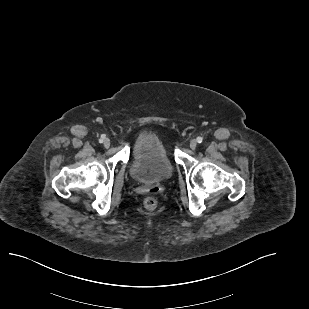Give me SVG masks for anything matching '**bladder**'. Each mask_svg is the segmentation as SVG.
Returning <instances> with one entry per match:
<instances>
[{
    "instance_id": "bladder-1",
    "label": "bladder",
    "mask_w": 309,
    "mask_h": 309,
    "mask_svg": "<svg viewBox=\"0 0 309 309\" xmlns=\"http://www.w3.org/2000/svg\"><path fill=\"white\" fill-rule=\"evenodd\" d=\"M174 168L163 142L154 135L137 139L132 150L131 177L139 183L153 184L166 181Z\"/></svg>"
}]
</instances>
